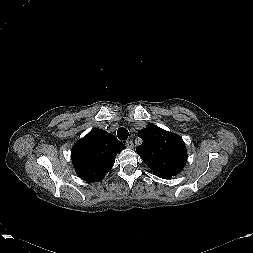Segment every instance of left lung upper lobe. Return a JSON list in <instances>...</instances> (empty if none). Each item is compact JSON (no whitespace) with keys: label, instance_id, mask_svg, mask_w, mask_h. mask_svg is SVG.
<instances>
[{"label":"left lung upper lobe","instance_id":"5c2ea615","mask_svg":"<svg viewBox=\"0 0 253 253\" xmlns=\"http://www.w3.org/2000/svg\"><path fill=\"white\" fill-rule=\"evenodd\" d=\"M138 136L143 142L136 151L157 176L170 178L184 168L187 151L181 137L152 123L140 130Z\"/></svg>","mask_w":253,"mask_h":253}]
</instances>
